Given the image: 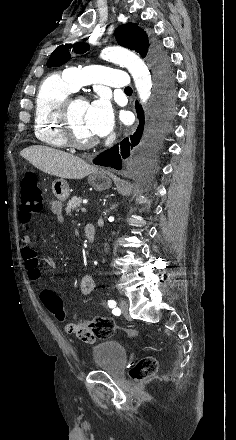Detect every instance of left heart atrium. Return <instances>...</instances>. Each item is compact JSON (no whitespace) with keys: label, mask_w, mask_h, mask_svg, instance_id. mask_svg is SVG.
Returning <instances> with one entry per match:
<instances>
[{"label":"left heart atrium","mask_w":236,"mask_h":440,"mask_svg":"<svg viewBox=\"0 0 236 440\" xmlns=\"http://www.w3.org/2000/svg\"><path fill=\"white\" fill-rule=\"evenodd\" d=\"M87 120L96 136H105L113 128V110L104 96L88 104Z\"/></svg>","instance_id":"1"}]
</instances>
